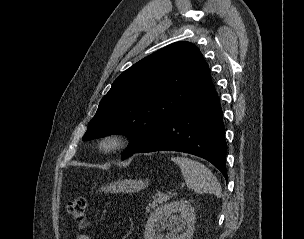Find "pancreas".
I'll use <instances>...</instances> for the list:
<instances>
[{
  "label": "pancreas",
  "mask_w": 304,
  "mask_h": 239,
  "mask_svg": "<svg viewBox=\"0 0 304 239\" xmlns=\"http://www.w3.org/2000/svg\"><path fill=\"white\" fill-rule=\"evenodd\" d=\"M169 199L168 196H162L161 194H157L155 197H153V201L149 204L147 207V211L149 212L150 209H155L158 204H162L163 202H166Z\"/></svg>",
  "instance_id": "obj_1"
}]
</instances>
